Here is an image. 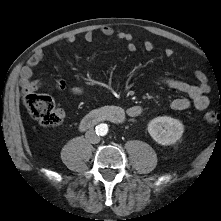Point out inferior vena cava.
Listing matches in <instances>:
<instances>
[{
  "label": "inferior vena cava",
  "mask_w": 221,
  "mask_h": 221,
  "mask_svg": "<svg viewBox=\"0 0 221 221\" xmlns=\"http://www.w3.org/2000/svg\"><path fill=\"white\" fill-rule=\"evenodd\" d=\"M85 137L86 139L92 143V144H97L100 142V137L95 133L94 130H88L86 133H85Z\"/></svg>",
  "instance_id": "602c4592"
}]
</instances>
